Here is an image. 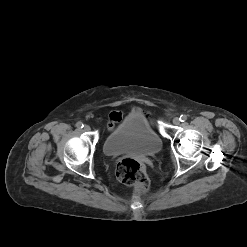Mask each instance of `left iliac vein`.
I'll return each instance as SVG.
<instances>
[{
  "label": "left iliac vein",
  "mask_w": 247,
  "mask_h": 247,
  "mask_svg": "<svg viewBox=\"0 0 247 247\" xmlns=\"http://www.w3.org/2000/svg\"><path fill=\"white\" fill-rule=\"evenodd\" d=\"M173 124H174V125H179V124H180V120H179L178 117H175V118L173 119Z\"/></svg>",
  "instance_id": "obj_1"
}]
</instances>
